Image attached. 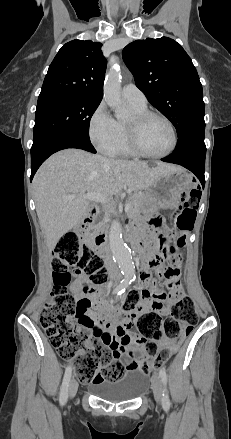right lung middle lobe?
Instances as JSON below:
<instances>
[{
    "label": "right lung middle lobe",
    "mask_w": 231,
    "mask_h": 439,
    "mask_svg": "<svg viewBox=\"0 0 231 439\" xmlns=\"http://www.w3.org/2000/svg\"><path fill=\"white\" fill-rule=\"evenodd\" d=\"M100 102L77 96H60L38 101L32 147L60 132L73 133L90 140V119Z\"/></svg>",
    "instance_id": "1"
}]
</instances>
